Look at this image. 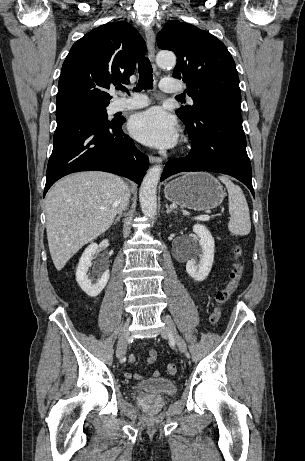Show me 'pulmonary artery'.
I'll return each instance as SVG.
<instances>
[{
	"instance_id": "pulmonary-artery-1",
	"label": "pulmonary artery",
	"mask_w": 305,
	"mask_h": 461,
	"mask_svg": "<svg viewBox=\"0 0 305 461\" xmlns=\"http://www.w3.org/2000/svg\"><path fill=\"white\" fill-rule=\"evenodd\" d=\"M161 90L167 93H177L182 91V86L175 82L173 78H163L160 84ZM190 101H192L189 98ZM149 104L147 97L141 94H134L131 98H117L112 103L113 111L132 110L145 107Z\"/></svg>"
}]
</instances>
